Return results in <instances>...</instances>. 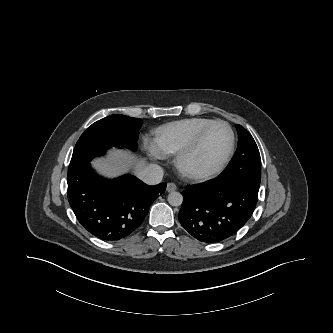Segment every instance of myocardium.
<instances>
[{
	"instance_id": "obj_1",
	"label": "myocardium",
	"mask_w": 333,
	"mask_h": 333,
	"mask_svg": "<svg viewBox=\"0 0 333 333\" xmlns=\"http://www.w3.org/2000/svg\"><path fill=\"white\" fill-rule=\"evenodd\" d=\"M215 125H223L225 126L230 134V146L229 149L222 159V161L212 170L206 171V172H200L192 169L188 165L189 159L192 157V155L198 150L200 147L203 139L205 138L206 134L210 131L212 127ZM235 134L231 126L223 121V120H215L208 124L206 127H204L198 134L197 136L193 139V141L186 147L184 148L181 152L178 153L176 159H175V164L178 168V170L186 177L190 179H195V180H209L217 175H219L225 167L228 165L229 161L231 160L234 150H235Z\"/></svg>"
}]
</instances>
